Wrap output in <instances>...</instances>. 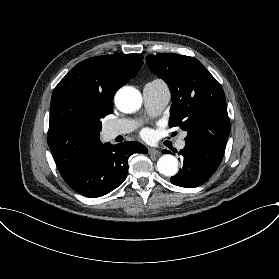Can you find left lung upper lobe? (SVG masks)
<instances>
[{
	"instance_id": "5c2ea615",
	"label": "left lung upper lobe",
	"mask_w": 279,
	"mask_h": 279,
	"mask_svg": "<svg viewBox=\"0 0 279 279\" xmlns=\"http://www.w3.org/2000/svg\"><path fill=\"white\" fill-rule=\"evenodd\" d=\"M146 60L170 88L169 126L186 130V142L225 147L230 133L225 94L210 72L197 59L174 53L148 55Z\"/></svg>"
}]
</instances>
